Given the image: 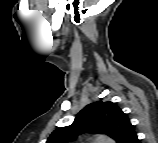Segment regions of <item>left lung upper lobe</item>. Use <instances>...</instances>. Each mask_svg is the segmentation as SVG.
<instances>
[{
  "label": "left lung upper lobe",
  "instance_id": "obj_1",
  "mask_svg": "<svg viewBox=\"0 0 158 143\" xmlns=\"http://www.w3.org/2000/svg\"><path fill=\"white\" fill-rule=\"evenodd\" d=\"M84 132L107 134L117 143H129L136 135L127 114L116 103L97 101L87 105L71 125L53 131L46 143L72 141Z\"/></svg>",
  "mask_w": 158,
  "mask_h": 143
}]
</instances>
